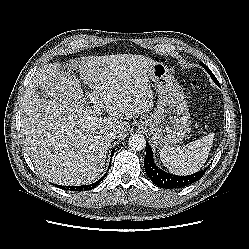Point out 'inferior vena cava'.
Returning <instances> with one entry per match:
<instances>
[{"label": "inferior vena cava", "instance_id": "602c4592", "mask_svg": "<svg viewBox=\"0 0 249 249\" xmlns=\"http://www.w3.org/2000/svg\"><path fill=\"white\" fill-rule=\"evenodd\" d=\"M118 135V131L116 129H112L107 133V136L111 139H115Z\"/></svg>", "mask_w": 249, "mask_h": 249}]
</instances>
